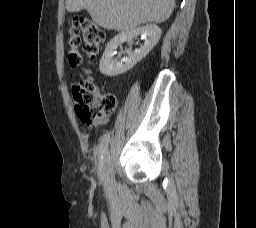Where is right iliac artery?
<instances>
[{
	"instance_id": "82829eb1",
	"label": "right iliac artery",
	"mask_w": 256,
	"mask_h": 228,
	"mask_svg": "<svg viewBox=\"0 0 256 228\" xmlns=\"http://www.w3.org/2000/svg\"><path fill=\"white\" fill-rule=\"evenodd\" d=\"M111 140V134H108V136H105L104 139L101 140V144H100V149H99V159L102 160L103 159V154L106 151V144L108 143V141ZM103 166L102 161H100V167L99 169L101 170V167Z\"/></svg>"
}]
</instances>
